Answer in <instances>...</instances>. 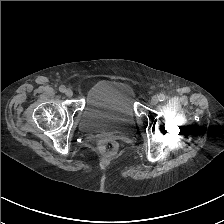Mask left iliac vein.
Returning <instances> with one entry per match:
<instances>
[{
    "instance_id": "obj_1",
    "label": "left iliac vein",
    "mask_w": 224,
    "mask_h": 224,
    "mask_svg": "<svg viewBox=\"0 0 224 224\" xmlns=\"http://www.w3.org/2000/svg\"><path fill=\"white\" fill-rule=\"evenodd\" d=\"M159 102V97L158 96H153L152 98H151V103L152 104H157Z\"/></svg>"
}]
</instances>
